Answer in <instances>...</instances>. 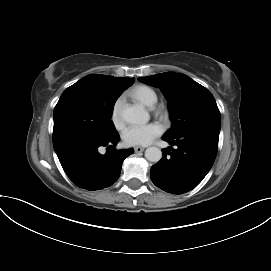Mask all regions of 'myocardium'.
<instances>
[{"instance_id": "obj_1", "label": "myocardium", "mask_w": 271, "mask_h": 271, "mask_svg": "<svg viewBox=\"0 0 271 271\" xmlns=\"http://www.w3.org/2000/svg\"><path fill=\"white\" fill-rule=\"evenodd\" d=\"M157 113L163 115V111L160 109L157 110Z\"/></svg>"}]
</instances>
